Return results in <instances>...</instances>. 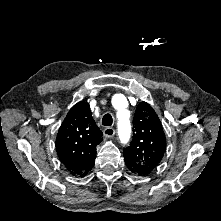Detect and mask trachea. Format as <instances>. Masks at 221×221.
I'll return each mask as SVG.
<instances>
[{"mask_svg":"<svg viewBox=\"0 0 221 221\" xmlns=\"http://www.w3.org/2000/svg\"><path fill=\"white\" fill-rule=\"evenodd\" d=\"M113 122L112 116L110 114H105L102 118V125L111 126Z\"/></svg>","mask_w":221,"mask_h":221,"instance_id":"obj_1","label":"trachea"}]
</instances>
